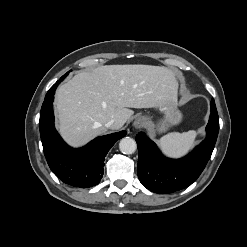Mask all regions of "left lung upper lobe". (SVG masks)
<instances>
[{"instance_id": "left-lung-upper-lobe-1", "label": "left lung upper lobe", "mask_w": 247, "mask_h": 247, "mask_svg": "<svg viewBox=\"0 0 247 247\" xmlns=\"http://www.w3.org/2000/svg\"><path fill=\"white\" fill-rule=\"evenodd\" d=\"M209 122L219 125V118H218V113H217L216 108H211V114H210Z\"/></svg>"}]
</instances>
